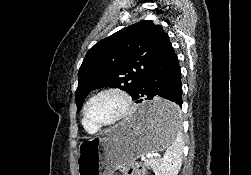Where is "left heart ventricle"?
Wrapping results in <instances>:
<instances>
[{"instance_id": "left-heart-ventricle-1", "label": "left heart ventricle", "mask_w": 251, "mask_h": 175, "mask_svg": "<svg viewBox=\"0 0 251 175\" xmlns=\"http://www.w3.org/2000/svg\"><path fill=\"white\" fill-rule=\"evenodd\" d=\"M125 112V103L117 92H106L97 96L88 109L87 124L108 125L117 121Z\"/></svg>"}]
</instances>
